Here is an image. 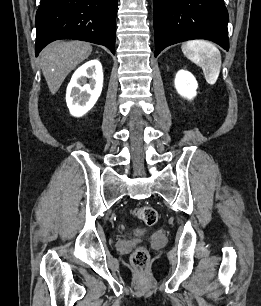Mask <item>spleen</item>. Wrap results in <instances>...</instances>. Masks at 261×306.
<instances>
[{"label": "spleen", "instance_id": "3e777b00", "mask_svg": "<svg viewBox=\"0 0 261 306\" xmlns=\"http://www.w3.org/2000/svg\"><path fill=\"white\" fill-rule=\"evenodd\" d=\"M182 52L186 57L200 66L208 84L214 85L221 69V53L219 49L209 41L192 40L183 43Z\"/></svg>", "mask_w": 261, "mask_h": 306}]
</instances>
